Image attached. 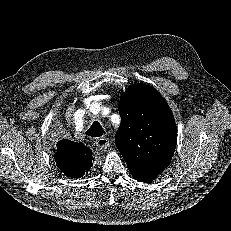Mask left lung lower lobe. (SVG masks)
<instances>
[{"label": "left lung lower lobe", "mask_w": 231, "mask_h": 231, "mask_svg": "<svg viewBox=\"0 0 231 231\" xmlns=\"http://www.w3.org/2000/svg\"><path fill=\"white\" fill-rule=\"evenodd\" d=\"M135 178V177H134ZM156 178V177H155ZM155 178H145V179H140V178H135L136 180H138L139 182H151L153 181Z\"/></svg>", "instance_id": "left-lung-lower-lobe-1"}]
</instances>
